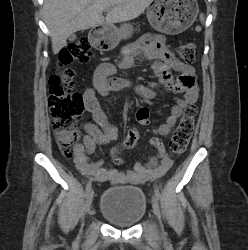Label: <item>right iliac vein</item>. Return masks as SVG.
Returning a JSON list of instances; mask_svg holds the SVG:
<instances>
[{"mask_svg":"<svg viewBox=\"0 0 248 250\" xmlns=\"http://www.w3.org/2000/svg\"><path fill=\"white\" fill-rule=\"evenodd\" d=\"M93 196H94V192L92 189H90L87 194H86V198H85V205H84V214H86L90 208H91V204L93 201Z\"/></svg>","mask_w":248,"mask_h":250,"instance_id":"obj_1","label":"right iliac vein"}]
</instances>
